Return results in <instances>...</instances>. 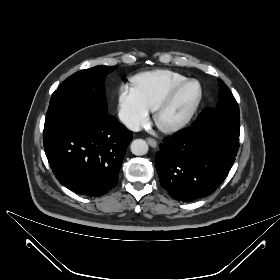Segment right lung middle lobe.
<instances>
[{"mask_svg": "<svg viewBox=\"0 0 280 280\" xmlns=\"http://www.w3.org/2000/svg\"><path fill=\"white\" fill-rule=\"evenodd\" d=\"M116 66H96L68 77L54 91L46 114L45 126L65 117L106 119L105 77Z\"/></svg>", "mask_w": 280, "mask_h": 280, "instance_id": "obj_1", "label": "right lung middle lobe"}]
</instances>
